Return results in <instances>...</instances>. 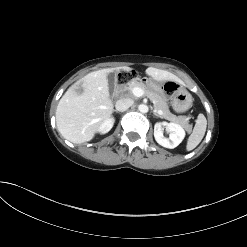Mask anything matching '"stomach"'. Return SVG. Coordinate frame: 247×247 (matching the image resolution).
<instances>
[{
	"mask_svg": "<svg viewBox=\"0 0 247 247\" xmlns=\"http://www.w3.org/2000/svg\"><path fill=\"white\" fill-rule=\"evenodd\" d=\"M161 94L171 100L173 109L182 113L192 106V95L179 83L175 81H165L159 87Z\"/></svg>",
	"mask_w": 247,
	"mask_h": 247,
	"instance_id": "1",
	"label": "stomach"
}]
</instances>
